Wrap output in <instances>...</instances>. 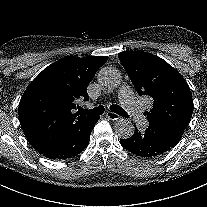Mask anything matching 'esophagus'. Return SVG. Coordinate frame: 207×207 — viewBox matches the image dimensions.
<instances>
[{"label":"esophagus","instance_id":"34e87169","mask_svg":"<svg viewBox=\"0 0 207 207\" xmlns=\"http://www.w3.org/2000/svg\"><path fill=\"white\" fill-rule=\"evenodd\" d=\"M106 117L110 120H113V121L118 120L120 118V116L117 113L111 112V111L106 113Z\"/></svg>","mask_w":207,"mask_h":207}]
</instances>
